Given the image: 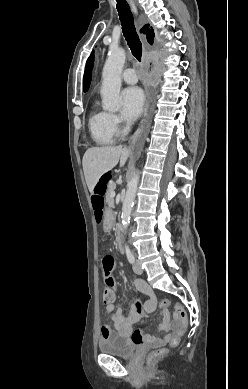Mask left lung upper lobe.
<instances>
[{
    "instance_id": "left-lung-upper-lobe-1",
    "label": "left lung upper lobe",
    "mask_w": 248,
    "mask_h": 389,
    "mask_svg": "<svg viewBox=\"0 0 248 389\" xmlns=\"http://www.w3.org/2000/svg\"><path fill=\"white\" fill-rule=\"evenodd\" d=\"M93 60H94V51H92L91 55L89 56L85 67V74L83 78L84 92H86L90 86Z\"/></svg>"
}]
</instances>
